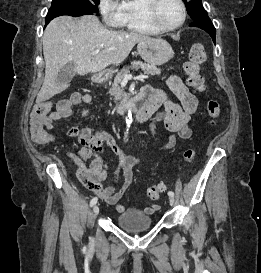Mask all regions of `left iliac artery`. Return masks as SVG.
<instances>
[{"label": "left iliac artery", "mask_w": 261, "mask_h": 273, "mask_svg": "<svg viewBox=\"0 0 261 273\" xmlns=\"http://www.w3.org/2000/svg\"><path fill=\"white\" fill-rule=\"evenodd\" d=\"M168 195H169L170 197H173V196H174V192H173V191H169V192H168Z\"/></svg>", "instance_id": "1"}]
</instances>
